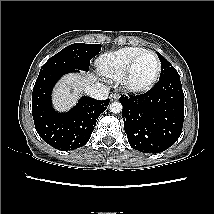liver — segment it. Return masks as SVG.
<instances>
[{
    "label": "liver",
    "mask_w": 214,
    "mask_h": 214,
    "mask_svg": "<svg viewBox=\"0 0 214 214\" xmlns=\"http://www.w3.org/2000/svg\"><path fill=\"white\" fill-rule=\"evenodd\" d=\"M97 78L88 73L81 75L69 74L56 85L53 93L54 107L65 111L72 107L81 91L96 82Z\"/></svg>",
    "instance_id": "obj_1"
}]
</instances>
